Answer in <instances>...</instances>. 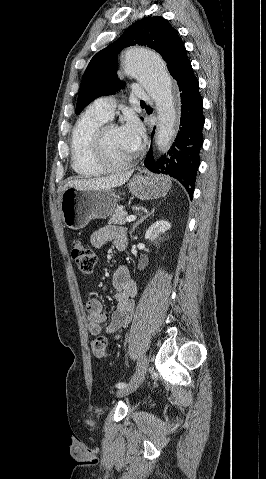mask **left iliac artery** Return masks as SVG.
<instances>
[{
	"label": "left iliac artery",
	"instance_id": "left-iliac-artery-1",
	"mask_svg": "<svg viewBox=\"0 0 266 479\" xmlns=\"http://www.w3.org/2000/svg\"><path fill=\"white\" fill-rule=\"evenodd\" d=\"M126 386H127V384L123 383V382H119V383L116 384V387L119 388V389L124 388Z\"/></svg>",
	"mask_w": 266,
	"mask_h": 479
}]
</instances>
